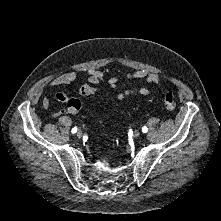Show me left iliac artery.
I'll return each mask as SVG.
<instances>
[{
  "label": "left iliac artery",
  "instance_id": "44dca946",
  "mask_svg": "<svg viewBox=\"0 0 221 221\" xmlns=\"http://www.w3.org/2000/svg\"><path fill=\"white\" fill-rule=\"evenodd\" d=\"M148 131V128L146 127V126H144L143 128H142V132L143 133H146Z\"/></svg>",
  "mask_w": 221,
  "mask_h": 221
}]
</instances>
